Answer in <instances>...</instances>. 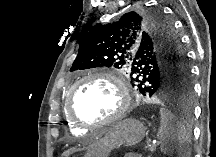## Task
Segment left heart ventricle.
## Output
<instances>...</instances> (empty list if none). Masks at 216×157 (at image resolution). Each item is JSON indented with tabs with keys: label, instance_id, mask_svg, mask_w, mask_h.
Returning a JSON list of instances; mask_svg holds the SVG:
<instances>
[{
	"label": "left heart ventricle",
	"instance_id": "obj_1",
	"mask_svg": "<svg viewBox=\"0 0 216 157\" xmlns=\"http://www.w3.org/2000/svg\"><path fill=\"white\" fill-rule=\"evenodd\" d=\"M73 111L85 121L109 118L118 107V92L114 85L93 79L80 84L73 94Z\"/></svg>",
	"mask_w": 216,
	"mask_h": 157
}]
</instances>
